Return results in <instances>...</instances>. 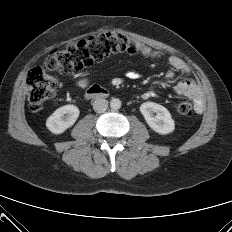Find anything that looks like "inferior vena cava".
I'll use <instances>...</instances> for the list:
<instances>
[{
    "mask_svg": "<svg viewBox=\"0 0 232 232\" xmlns=\"http://www.w3.org/2000/svg\"><path fill=\"white\" fill-rule=\"evenodd\" d=\"M108 107V101L105 99H96L93 102V109L94 111H96L97 113H103L106 111Z\"/></svg>",
    "mask_w": 232,
    "mask_h": 232,
    "instance_id": "1",
    "label": "inferior vena cava"
}]
</instances>
